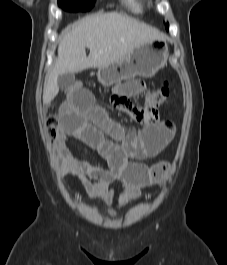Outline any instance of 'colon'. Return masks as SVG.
Returning a JSON list of instances; mask_svg holds the SVG:
<instances>
[{
	"label": "colon",
	"instance_id": "obj_1",
	"mask_svg": "<svg viewBox=\"0 0 227 265\" xmlns=\"http://www.w3.org/2000/svg\"><path fill=\"white\" fill-rule=\"evenodd\" d=\"M70 87H82L80 83H74ZM67 91V90H66ZM170 96V84L165 81L163 85L148 93L145 99V103L141 107V112H132L135 119L146 124H156L159 120L158 107L165 103ZM68 97V96H67ZM117 99H126L124 97H119ZM60 121L56 118H50L48 121V128L53 139H57L59 135ZM168 168V163L159 162L151 166V173L156 179H160L164 176Z\"/></svg>",
	"mask_w": 227,
	"mask_h": 265
}]
</instances>
